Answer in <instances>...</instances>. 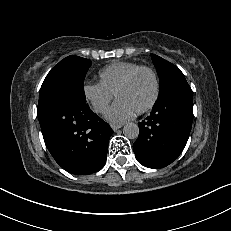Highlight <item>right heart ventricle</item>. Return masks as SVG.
<instances>
[{"mask_svg":"<svg viewBox=\"0 0 231 231\" xmlns=\"http://www.w3.org/2000/svg\"><path fill=\"white\" fill-rule=\"evenodd\" d=\"M140 65L135 62L118 61L103 67L99 71L100 83L115 94L119 84Z\"/></svg>","mask_w":231,"mask_h":231,"instance_id":"right-heart-ventricle-1","label":"right heart ventricle"}]
</instances>
